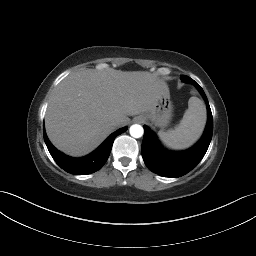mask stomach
Listing matches in <instances>:
<instances>
[{"label": "stomach", "instance_id": "obj_1", "mask_svg": "<svg viewBox=\"0 0 256 256\" xmlns=\"http://www.w3.org/2000/svg\"><path fill=\"white\" fill-rule=\"evenodd\" d=\"M172 112L173 104L169 90H167L161 93L153 107L142 113L139 118L151 122L156 127L164 128L170 123Z\"/></svg>", "mask_w": 256, "mask_h": 256}]
</instances>
